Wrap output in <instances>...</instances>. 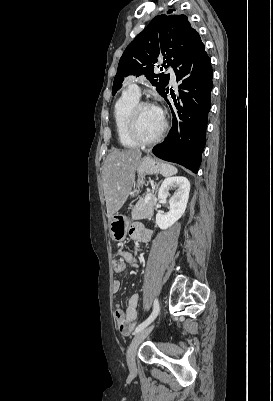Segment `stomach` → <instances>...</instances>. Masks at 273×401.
Here are the masks:
<instances>
[{
  "mask_svg": "<svg viewBox=\"0 0 273 401\" xmlns=\"http://www.w3.org/2000/svg\"><path fill=\"white\" fill-rule=\"evenodd\" d=\"M161 170V162L157 158H152V156H143L139 166H137L138 178L135 182L137 188H135L136 194L139 192L140 186L144 182L145 174H158ZM130 225L129 219L124 217V215H112L109 219V231L112 241H124L126 239L128 227Z\"/></svg>",
  "mask_w": 273,
  "mask_h": 401,
  "instance_id": "obj_1",
  "label": "stomach"
}]
</instances>
